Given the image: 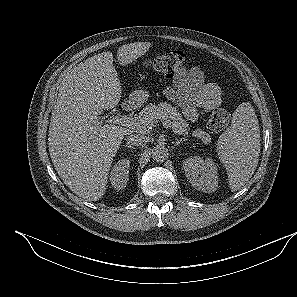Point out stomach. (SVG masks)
Instances as JSON below:
<instances>
[{
	"instance_id": "1",
	"label": "stomach",
	"mask_w": 297,
	"mask_h": 297,
	"mask_svg": "<svg viewBox=\"0 0 297 297\" xmlns=\"http://www.w3.org/2000/svg\"><path fill=\"white\" fill-rule=\"evenodd\" d=\"M149 94L145 90H136L130 95V100L137 105H141L148 100Z\"/></svg>"
}]
</instances>
